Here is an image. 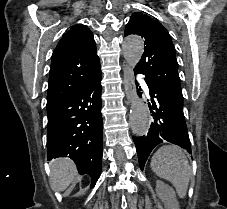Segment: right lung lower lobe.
<instances>
[{
    "instance_id": "obj_1",
    "label": "right lung lower lobe",
    "mask_w": 227,
    "mask_h": 209,
    "mask_svg": "<svg viewBox=\"0 0 227 209\" xmlns=\"http://www.w3.org/2000/svg\"><path fill=\"white\" fill-rule=\"evenodd\" d=\"M77 73L88 69L79 67ZM101 69L67 97L47 107V160L69 157L80 174H88L92 187L102 166L103 119L101 115Z\"/></svg>"
}]
</instances>
